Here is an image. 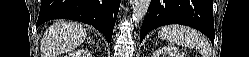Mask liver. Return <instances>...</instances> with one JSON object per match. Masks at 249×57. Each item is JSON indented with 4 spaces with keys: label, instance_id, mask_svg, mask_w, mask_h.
Listing matches in <instances>:
<instances>
[{
    "label": "liver",
    "instance_id": "obj_1",
    "mask_svg": "<svg viewBox=\"0 0 249 57\" xmlns=\"http://www.w3.org/2000/svg\"><path fill=\"white\" fill-rule=\"evenodd\" d=\"M87 37L86 29L77 22L60 21L49 27L41 40L42 57H57L81 45Z\"/></svg>",
    "mask_w": 249,
    "mask_h": 57
}]
</instances>
